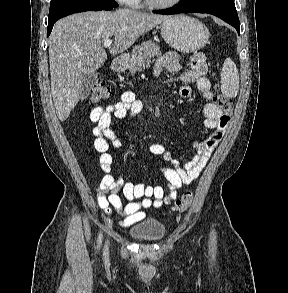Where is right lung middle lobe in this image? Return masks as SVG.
<instances>
[{"instance_id":"dd1d6c3e","label":"right lung middle lobe","mask_w":288,"mask_h":293,"mask_svg":"<svg viewBox=\"0 0 288 293\" xmlns=\"http://www.w3.org/2000/svg\"><path fill=\"white\" fill-rule=\"evenodd\" d=\"M84 5L111 8L117 7L118 3L115 0H51L48 18H51L65 10Z\"/></svg>"}]
</instances>
